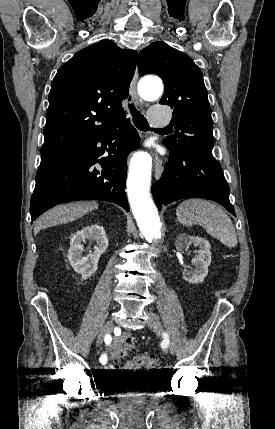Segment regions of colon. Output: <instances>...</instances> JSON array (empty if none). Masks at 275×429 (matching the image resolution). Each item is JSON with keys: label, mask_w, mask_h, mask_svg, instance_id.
Here are the masks:
<instances>
[{"label": "colon", "mask_w": 275, "mask_h": 429, "mask_svg": "<svg viewBox=\"0 0 275 429\" xmlns=\"http://www.w3.org/2000/svg\"><path fill=\"white\" fill-rule=\"evenodd\" d=\"M135 344V338L132 340L126 341L123 346L116 352V359L120 360L122 359L126 353L133 348ZM135 361L145 367L146 369L152 371V372H158L160 371V360L151 355H138L135 357Z\"/></svg>", "instance_id": "colon-1"}]
</instances>
